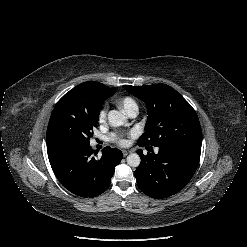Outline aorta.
Instances as JSON below:
<instances>
[{
	"mask_svg": "<svg viewBox=\"0 0 247 247\" xmlns=\"http://www.w3.org/2000/svg\"><path fill=\"white\" fill-rule=\"evenodd\" d=\"M108 120L112 127H118L126 123L127 116L122 111L111 110L108 113ZM140 162V156L136 153H131L127 156V164L131 167H138Z\"/></svg>",
	"mask_w": 247,
	"mask_h": 247,
	"instance_id": "1",
	"label": "aorta"
}]
</instances>
